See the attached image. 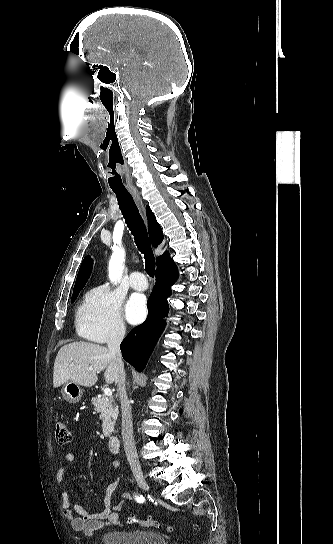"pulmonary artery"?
<instances>
[{
  "label": "pulmonary artery",
  "instance_id": "e3ab8cb5",
  "mask_svg": "<svg viewBox=\"0 0 333 544\" xmlns=\"http://www.w3.org/2000/svg\"><path fill=\"white\" fill-rule=\"evenodd\" d=\"M130 285L138 291H144L148 287V282L142 272L135 271L130 275Z\"/></svg>",
  "mask_w": 333,
  "mask_h": 544
}]
</instances>
